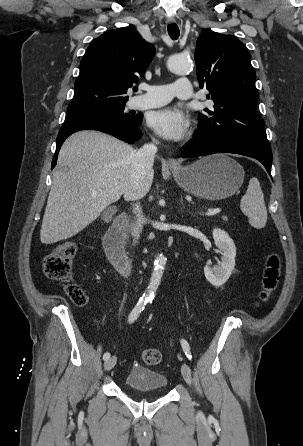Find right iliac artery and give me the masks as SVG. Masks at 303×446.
Instances as JSON below:
<instances>
[{"label": "right iliac artery", "instance_id": "obj_1", "mask_svg": "<svg viewBox=\"0 0 303 446\" xmlns=\"http://www.w3.org/2000/svg\"><path fill=\"white\" fill-rule=\"evenodd\" d=\"M147 302H148L147 300H143V299H140L138 301V303L133 308V310L131 311V313H130V315L128 317L129 323L134 322L138 318V316L140 315L141 311L144 310V307L147 304ZM109 358H110V353L109 352L104 353L103 359L106 361Z\"/></svg>", "mask_w": 303, "mask_h": 446}]
</instances>
